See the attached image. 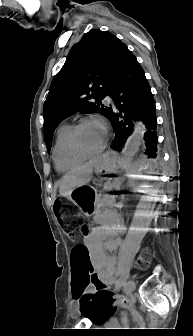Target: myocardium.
<instances>
[{"label":"myocardium","instance_id":"f54148a6","mask_svg":"<svg viewBox=\"0 0 193 336\" xmlns=\"http://www.w3.org/2000/svg\"><path fill=\"white\" fill-rule=\"evenodd\" d=\"M88 123H98L100 124L105 132V137L104 140L101 144V146L99 148H97L96 150L93 151H88L86 149H84L78 142V132L79 130L85 126ZM109 140V130L108 128L99 120L96 119H91V118H84L81 119L77 124H75L70 132H69V136H68V143H69V147L71 149V151L79 156H82L84 158H88V157H93L96 156L100 153H102L104 151V149L107 146Z\"/></svg>","mask_w":193,"mask_h":336}]
</instances>
